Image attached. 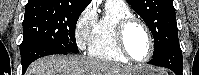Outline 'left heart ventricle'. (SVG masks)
<instances>
[{"label": "left heart ventricle", "instance_id": "left-heart-ventricle-1", "mask_svg": "<svg viewBox=\"0 0 199 75\" xmlns=\"http://www.w3.org/2000/svg\"><path fill=\"white\" fill-rule=\"evenodd\" d=\"M125 41L129 53L135 59H143L148 54V37L140 25L133 24L128 28Z\"/></svg>", "mask_w": 199, "mask_h": 75}]
</instances>
